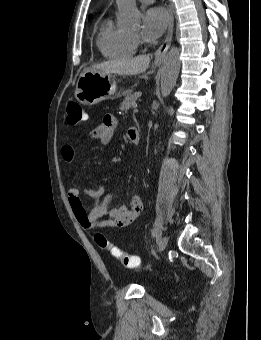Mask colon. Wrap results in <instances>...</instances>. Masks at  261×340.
Returning <instances> with one entry per match:
<instances>
[{
    "instance_id": "1",
    "label": "colon",
    "mask_w": 261,
    "mask_h": 340,
    "mask_svg": "<svg viewBox=\"0 0 261 340\" xmlns=\"http://www.w3.org/2000/svg\"><path fill=\"white\" fill-rule=\"evenodd\" d=\"M66 112V120L70 126L78 125L86 119L85 111L79 103L70 102L67 106ZM94 240L100 248L108 251L110 255L117 259L124 267L136 268L139 265L140 260L137 256L131 255L111 244L102 233H97L94 236Z\"/></svg>"
}]
</instances>
